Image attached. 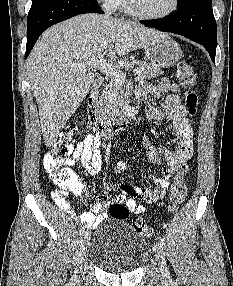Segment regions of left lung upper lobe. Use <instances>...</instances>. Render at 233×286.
Here are the masks:
<instances>
[{
    "mask_svg": "<svg viewBox=\"0 0 233 286\" xmlns=\"http://www.w3.org/2000/svg\"><path fill=\"white\" fill-rule=\"evenodd\" d=\"M187 0H177L178 7H181Z\"/></svg>",
    "mask_w": 233,
    "mask_h": 286,
    "instance_id": "1",
    "label": "left lung upper lobe"
}]
</instances>
